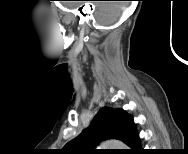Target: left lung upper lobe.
Instances as JSON below:
<instances>
[{
    "mask_svg": "<svg viewBox=\"0 0 188 154\" xmlns=\"http://www.w3.org/2000/svg\"><path fill=\"white\" fill-rule=\"evenodd\" d=\"M132 117L123 109L103 107L93 118L91 125L68 142L63 151L68 154H97L95 149L102 140L124 141Z\"/></svg>",
    "mask_w": 188,
    "mask_h": 154,
    "instance_id": "left-lung-upper-lobe-1",
    "label": "left lung upper lobe"
}]
</instances>
